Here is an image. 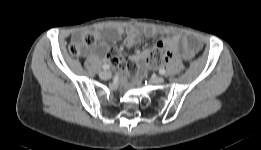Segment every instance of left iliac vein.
I'll return each instance as SVG.
<instances>
[{
	"mask_svg": "<svg viewBox=\"0 0 261 150\" xmlns=\"http://www.w3.org/2000/svg\"><path fill=\"white\" fill-rule=\"evenodd\" d=\"M151 82L154 83V84H162L164 83V78L163 77H153L151 79Z\"/></svg>",
	"mask_w": 261,
	"mask_h": 150,
	"instance_id": "obj_1",
	"label": "left iliac vein"
}]
</instances>
